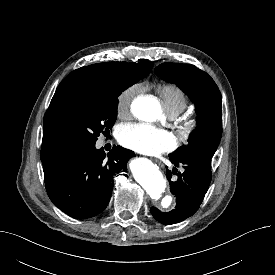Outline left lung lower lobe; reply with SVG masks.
Returning a JSON list of instances; mask_svg holds the SVG:
<instances>
[{"mask_svg":"<svg viewBox=\"0 0 275 275\" xmlns=\"http://www.w3.org/2000/svg\"><path fill=\"white\" fill-rule=\"evenodd\" d=\"M169 157L175 166L181 164L185 170L183 173H176L177 169L174 168L172 172L168 169L166 172L170 192L176 197V208L170 212H161L155 207L150 209L153 217L165 225L178 223L192 216L200 207L212 179L211 159ZM172 174H176L177 179L173 180Z\"/></svg>","mask_w":275,"mask_h":275,"instance_id":"left-lung-lower-lobe-1","label":"left lung lower lobe"}]
</instances>
